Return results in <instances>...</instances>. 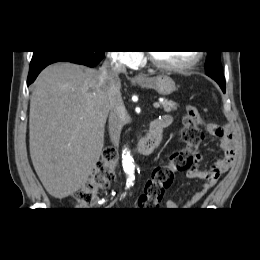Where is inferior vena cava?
I'll return each mask as SVG.
<instances>
[{"instance_id":"obj_1","label":"inferior vena cava","mask_w":260,"mask_h":260,"mask_svg":"<svg viewBox=\"0 0 260 260\" xmlns=\"http://www.w3.org/2000/svg\"><path fill=\"white\" fill-rule=\"evenodd\" d=\"M101 85L109 106V134L113 142H118L123 127V108L119 74L126 71V67L116 53H108L107 58L100 68Z\"/></svg>"}]
</instances>
